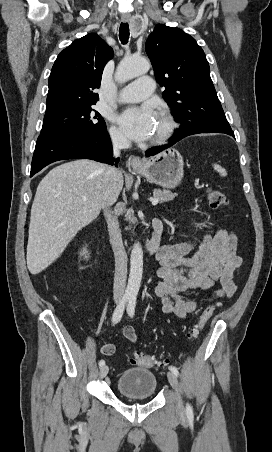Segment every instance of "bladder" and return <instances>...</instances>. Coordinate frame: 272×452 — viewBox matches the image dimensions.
<instances>
[{"mask_svg": "<svg viewBox=\"0 0 272 452\" xmlns=\"http://www.w3.org/2000/svg\"><path fill=\"white\" fill-rule=\"evenodd\" d=\"M156 375L147 368L125 370L116 382L117 391L126 397L152 398L157 392Z\"/></svg>", "mask_w": 272, "mask_h": 452, "instance_id": "1", "label": "bladder"}]
</instances>
